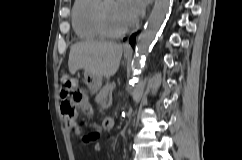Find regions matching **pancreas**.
I'll return each instance as SVG.
<instances>
[{"instance_id":"1","label":"pancreas","mask_w":242,"mask_h":160,"mask_svg":"<svg viewBox=\"0 0 242 160\" xmlns=\"http://www.w3.org/2000/svg\"><path fill=\"white\" fill-rule=\"evenodd\" d=\"M115 83H108L106 84L100 92L96 95V102L100 105H104L106 103L107 97L110 93L115 88Z\"/></svg>"}]
</instances>
